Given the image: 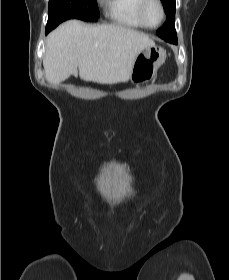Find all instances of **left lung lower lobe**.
Wrapping results in <instances>:
<instances>
[{
    "instance_id": "1",
    "label": "left lung lower lobe",
    "mask_w": 229,
    "mask_h": 280,
    "mask_svg": "<svg viewBox=\"0 0 229 280\" xmlns=\"http://www.w3.org/2000/svg\"><path fill=\"white\" fill-rule=\"evenodd\" d=\"M170 43L177 44V39H174V40L170 41Z\"/></svg>"
}]
</instances>
